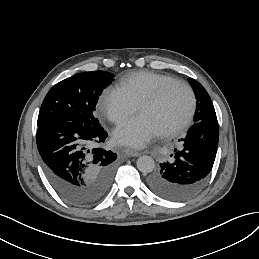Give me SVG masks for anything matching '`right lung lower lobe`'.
Masks as SVG:
<instances>
[{
	"label": "right lung lower lobe",
	"mask_w": 259,
	"mask_h": 259,
	"mask_svg": "<svg viewBox=\"0 0 259 259\" xmlns=\"http://www.w3.org/2000/svg\"><path fill=\"white\" fill-rule=\"evenodd\" d=\"M101 126L56 121L38 127L37 148L55 191L68 203L85 207L109 191L117 154L101 147L107 138Z\"/></svg>",
	"instance_id": "right-lung-lower-lobe-1"
}]
</instances>
